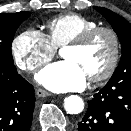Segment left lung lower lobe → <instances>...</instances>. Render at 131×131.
<instances>
[{
    "instance_id": "0a47b994",
    "label": "left lung lower lobe",
    "mask_w": 131,
    "mask_h": 131,
    "mask_svg": "<svg viewBox=\"0 0 131 131\" xmlns=\"http://www.w3.org/2000/svg\"><path fill=\"white\" fill-rule=\"evenodd\" d=\"M88 104L78 131H131V82L107 83Z\"/></svg>"
}]
</instances>
